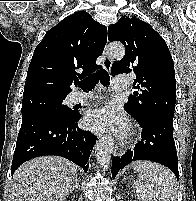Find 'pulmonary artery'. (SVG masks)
<instances>
[{"label": "pulmonary artery", "instance_id": "obj_1", "mask_svg": "<svg viewBox=\"0 0 196 201\" xmlns=\"http://www.w3.org/2000/svg\"><path fill=\"white\" fill-rule=\"evenodd\" d=\"M127 86H128V81L126 77L115 78L111 83V87L114 90H123V89H126ZM96 96L97 94L93 92H87V93L76 92L72 95V102L79 103V102L87 101V100L95 98Z\"/></svg>", "mask_w": 196, "mask_h": 201}]
</instances>
